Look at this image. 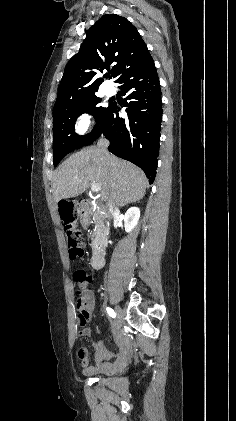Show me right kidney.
Returning a JSON list of instances; mask_svg holds the SVG:
<instances>
[{"instance_id":"obj_1","label":"right kidney","mask_w":236,"mask_h":421,"mask_svg":"<svg viewBox=\"0 0 236 421\" xmlns=\"http://www.w3.org/2000/svg\"><path fill=\"white\" fill-rule=\"evenodd\" d=\"M140 219V208L138 206H131L125 213L124 223L126 233H131L132 229H135Z\"/></svg>"}]
</instances>
